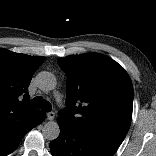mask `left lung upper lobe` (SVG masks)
Returning <instances> with one entry per match:
<instances>
[{
	"label": "left lung upper lobe",
	"instance_id": "obj_1",
	"mask_svg": "<svg viewBox=\"0 0 156 156\" xmlns=\"http://www.w3.org/2000/svg\"><path fill=\"white\" fill-rule=\"evenodd\" d=\"M57 63L67 75V108L58 118L120 146L132 119L133 86L127 72L98 53L71 55Z\"/></svg>",
	"mask_w": 156,
	"mask_h": 156
}]
</instances>
